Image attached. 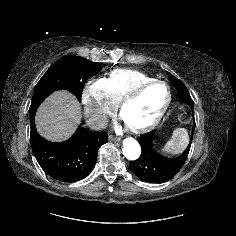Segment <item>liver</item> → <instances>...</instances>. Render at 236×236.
Returning <instances> with one entry per match:
<instances>
[{
  "label": "liver",
  "mask_w": 236,
  "mask_h": 236,
  "mask_svg": "<svg viewBox=\"0 0 236 236\" xmlns=\"http://www.w3.org/2000/svg\"><path fill=\"white\" fill-rule=\"evenodd\" d=\"M81 118V107L76 97L61 90L41 104L36 114V127L45 139L60 142L73 135Z\"/></svg>",
  "instance_id": "1"
}]
</instances>
